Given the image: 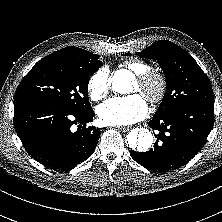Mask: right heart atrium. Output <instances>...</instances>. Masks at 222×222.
I'll list each match as a JSON object with an SVG mask.
<instances>
[{"mask_svg":"<svg viewBox=\"0 0 222 222\" xmlns=\"http://www.w3.org/2000/svg\"><path fill=\"white\" fill-rule=\"evenodd\" d=\"M87 90L93 101H100L109 93V71L106 67L98 69L89 79Z\"/></svg>","mask_w":222,"mask_h":222,"instance_id":"1","label":"right heart atrium"}]
</instances>
